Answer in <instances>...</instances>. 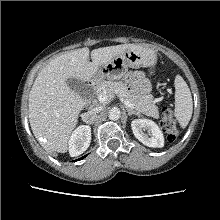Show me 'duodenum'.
Returning a JSON list of instances; mask_svg holds the SVG:
<instances>
[{"label":"duodenum","instance_id":"obj_1","mask_svg":"<svg viewBox=\"0 0 220 220\" xmlns=\"http://www.w3.org/2000/svg\"><path fill=\"white\" fill-rule=\"evenodd\" d=\"M88 88H89L90 93L93 94L96 88V81L95 80L89 81Z\"/></svg>","mask_w":220,"mask_h":220}]
</instances>
